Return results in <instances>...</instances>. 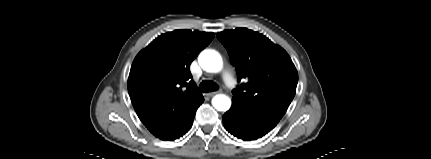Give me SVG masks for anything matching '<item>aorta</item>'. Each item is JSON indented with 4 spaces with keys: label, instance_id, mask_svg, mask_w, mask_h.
<instances>
[{
    "label": "aorta",
    "instance_id": "aorta-1",
    "mask_svg": "<svg viewBox=\"0 0 431 159\" xmlns=\"http://www.w3.org/2000/svg\"><path fill=\"white\" fill-rule=\"evenodd\" d=\"M201 68L210 73H217L222 70L223 61L221 55L211 49L203 50L198 57ZM212 105L217 111H227L231 107V99L224 95L218 94L213 97Z\"/></svg>",
    "mask_w": 431,
    "mask_h": 159
}]
</instances>
